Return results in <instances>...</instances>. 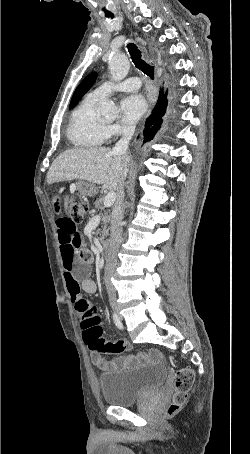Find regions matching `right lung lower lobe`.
Here are the masks:
<instances>
[{"label": "right lung lower lobe", "instance_id": "98d812e1", "mask_svg": "<svg viewBox=\"0 0 250 454\" xmlns=\"http://www.w3.org/2000/svg\"><path fill=\"white\" fill-rule=\"evenodd\" d=\"M167 106V92L164 94L163 90L159 94V99L152 110V114L146 120V127L143 131L144 142L151 141L163 122L162 117L166 111Z\"/></svg>", "mask_w": 250, "mask_h": 454}]
</instances>
